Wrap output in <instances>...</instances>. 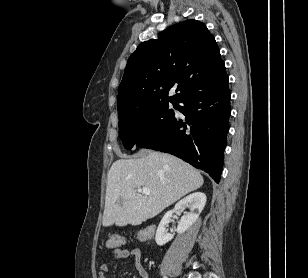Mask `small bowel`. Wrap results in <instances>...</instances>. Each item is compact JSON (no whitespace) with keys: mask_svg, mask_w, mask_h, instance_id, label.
Returning a JSON list of instances; mask_svg holds the SVG:
<instances>
[{"mask_svg":"<svg viewBox=\"0 0 308 278\" xmlns=\"http://www.w3.org/2000/svg\"><path fill=\"white\" fill-rule=\"evenodd\" d=\"M112 256L114 257L115 260H125L128 258H132L134 262V266L139 273L141 278H149L147 270L142 264V253L140 249L138 248H133L131 250L128 249H123V248H118L113 250ZM110 269V265L108 261L103 262L100 265V273H99V278H108V271Z\"/></svg>","mask_w":308,"mask_h":278,"instance_id":"1","label":"small bowel"}]
</instances>
